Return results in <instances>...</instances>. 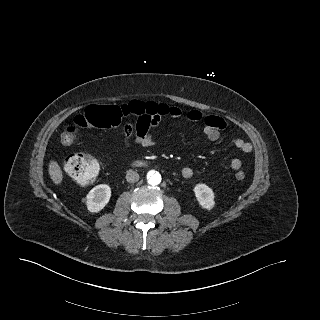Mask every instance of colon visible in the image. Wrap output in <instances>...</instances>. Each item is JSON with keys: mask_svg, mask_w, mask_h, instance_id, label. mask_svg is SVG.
I'll use <instances>...</instances> for the list:
<instances>
[{"mask_svg": "<svg viewBox=\"0 0 320 320\" xmlns=\"http://www.w3.org/2000/svg\"><path fill=\"white\" fill-rule=\"evenodd\" d=\"M145 110L151 112L158 111V116L154 120L158 121L160 113L164 112V106H157L153 103L142 104L134 103L129 108L115 105H91L85 111L78 115L73 123L66 127L62 132V140L65 143L74 141L80 128H112L120 124L123 117L129 111L138 115V126L144 124L143 113ZM65 168L68 174L80 185H89L96 178L99 171V162L97 159L86 154L70 155L65 162ZM238 181L245 178V173L239 171L235 174Z\"/></svg>", "mask_w": 320, "mask_h": 320, "instance_id": "5ec220e1", "label": "colon"}]
</instances>
